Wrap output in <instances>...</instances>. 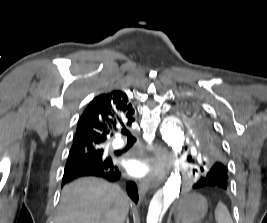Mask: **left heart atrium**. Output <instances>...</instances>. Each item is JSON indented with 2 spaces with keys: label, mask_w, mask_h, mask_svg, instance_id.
I'll list each match as a JSON object with an SVG mask.
<instances>
[{
  "label": "left heart atrium",
  "mask_w": 267,
  "mask_h": 223,
  "mask_svg": "<svg viewBox=\"0 0 267 223\" xmlns=\"http://www.w3.org/2000/svg\"><path fill=\"white\" fill-rule=\"evenodd\" d=\"M126 169L130 175L135 177H143L147 175L151 170L148 162L139 157L127 160Z\"/></svg>",
  "instance_id": "39dd6f15"
}]
</instances>
